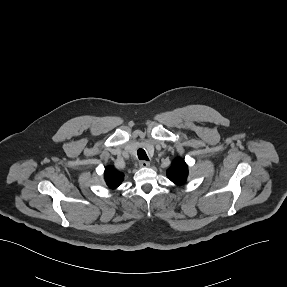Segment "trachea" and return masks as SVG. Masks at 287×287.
Instances as JSON below:
<instances>
[{"instance_id":"3493384b","label":"trachea","mask_w":287,"mask_h":287,"mask_svg":"<svg viewBox=\"0 0 287 287\" xmlns=\"http://www.w3.org/2000/svg\"><path fill=\"white\" fill-rule=\"evenodd\" d=\"M137 155H138V158L140 160H146V161L149 160V158H148V156L146 154V151L144 149H142V148L138 149Z\"/></svg>"}]
</instances>
